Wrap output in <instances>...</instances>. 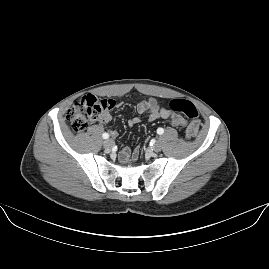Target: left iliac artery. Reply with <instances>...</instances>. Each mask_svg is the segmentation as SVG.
<instances>
[{
  "label": "left iliac artery",
  "instance_id": "1",
  "mask_svg": "<svg viewBox=\"0 0 269 269\" xmlns=\"http://www.w3.org/2000/svg\"><path fill=\"white\" fill-rule=\"evenodd\" d=\"M157 133H158L159 135L163 134V133H164V129H163V128H158V129H157Z\"/></svg>",
  "mask_w": 269,
  "mask_h": 269
}]
</instances>
